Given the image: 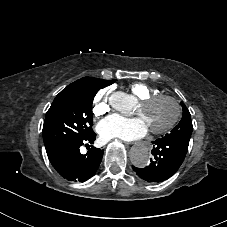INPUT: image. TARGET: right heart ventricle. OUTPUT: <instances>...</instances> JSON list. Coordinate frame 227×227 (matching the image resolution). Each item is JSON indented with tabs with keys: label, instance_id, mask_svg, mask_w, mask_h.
<instances>
[{
	"label": "right heart ventricle",
	"instance_id": "right-heart-ventricle-1",
	"mask_svg": "<svg viewBox=\"0 0 227 227\" xmlns=\"http://www.w3.org/2000/svg\"><path fill=\"white\" fill-rule=\"evenodd\" d=\"M129 90L136 99L142 100L148 96L160 94L157 88L150 87L143 82H133L129 86Z\"/></svg>",
	"mask_w": 227,
	"mask_h": 227
}]
</instances>
